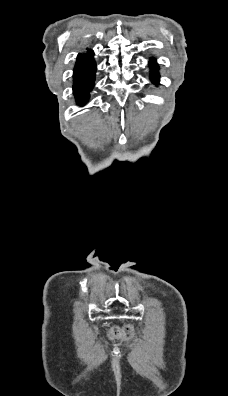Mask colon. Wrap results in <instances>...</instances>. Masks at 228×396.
<instances>
[{
	"instance_id": "5ec220e1",
	"label": "colon",
	"mask_w": 228,
	"mask_h": 396,
	"mask_svg": "<svg viewBox=\"0 0 228 396\" xmlns=\"http://www.w3.org/2000/svg\"><path fill=\"white\" fill-rule=\"evenodd\" d=\"M111 333L119 338L131 339L134 336V327L131 325H126L121 329H112Z\"/></svg>"
}]
</instances>
